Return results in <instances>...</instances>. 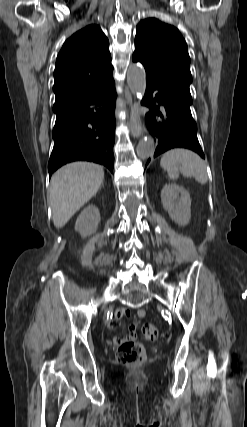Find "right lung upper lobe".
<instances>
[{
	"mask_svg": "<svg viewBox=\"0 0 247 427\" xmlns=\"http://www.w3.org/2000/svg\"><path fill=\"white\" fill-rule=\"evenodd\" d=\"M113 66L109 41L99 26L73 34L60 50L54 71L56 101L93 91L109 81Z\"/></svg>",
	"mask_w": 247,
	"mask_h": 427,
	"instance_id": "obj_1",
	"label": "right lung upper lobe"
}]
</instances>
